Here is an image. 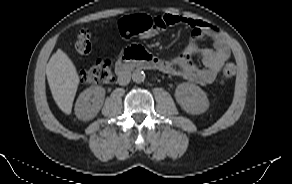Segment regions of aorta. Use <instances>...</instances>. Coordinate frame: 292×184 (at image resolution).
I'll return each instance as SVG.
<instances>
[{"instance_id": "obj_1", "label": "aorta", "mask_w": 292, "mask_h": 184, "mask_svg": "<svg viewBox=\"0 0 292 184\" xmlns=\"http://www.w3.org/2000/svg\"><path fill=\"white\" fill-rule=\"evenodd\" d=\"M145 79V74L143 71L137 69L132 73V80L136 83H141Z\"/></svg>"}]
</instances>
